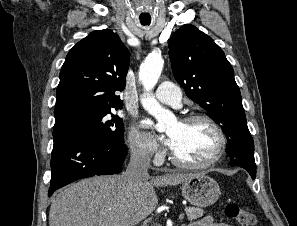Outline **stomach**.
<instances>
[{
	"instance_id": "stomach-1",
	"label": "stomach",
	"mask_w": 297,
	"mask_h": 226,
	"mask_svg": "<svg viewBox=\"0 0 297 226\" xmlns=\"http://www.w3.org/2000/svg\"><path fill=\"white\" fill-rule=\"evenodd\" d=\"M180 189L186 200L199 207L212 205L221 194L218 183L205 173L194 174L184 180Z\"/></svg>"
}]
</instances>
